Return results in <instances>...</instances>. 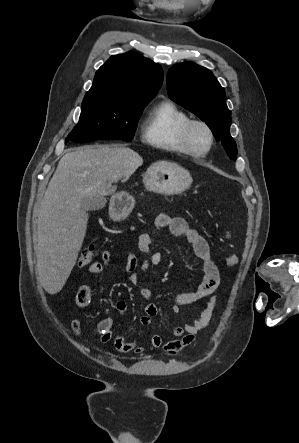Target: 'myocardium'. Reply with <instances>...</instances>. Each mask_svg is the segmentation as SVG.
Listing matches in <instances>:
<instances>
[{
	"label": "myocardium",
	"instance_id": "obj_1",
	"mask_svg": "<svg viewBox=\"0 0 299 443\" xmlns=\"http://www.w3.org/2000/svg\"><path fill=\"white\" fill-rule=\"evenodd\" d=\"M197 126H200L202 128H204L206 130V132L208 133L209 136V144L208 147L205 150H196L193 146H192V141H191V136H192V132L193 129ZM214 141H215V137H214V132L212 130V128L210 127V125L203 121V120H199V119H191L189 120L182 128L181 133H180V142L182 145V148L184 149V151L186 152V154L191 155L193 157H204L206 156L211 149L213 148L214 145Z\"/></svg>",
	"mask_w": 299,
	"mask_h": 443
}]
</instances>
